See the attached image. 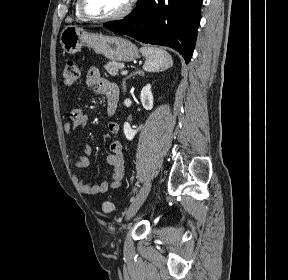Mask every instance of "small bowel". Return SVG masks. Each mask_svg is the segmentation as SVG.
<instances>
[{
  "label": "small bowel",
  "instance_id": "obj_1",
  "mask_svg": "<svg viewBox=\"0 0 288 280\" xmlns=\"http://www.w3.org/2000/svg\"><path fill=\"white\" fill-rule=\"evenodd\" d=\"M86 85L95 93L103 94L106 97V113L111 115V113L109 112V103L113 99L118 100V87L109 80L101 77L100 71L96 67H92L88 70L86 76ZM88 121L89 116L85 109L81 106L75 107L70 112V121L64 123V131L67 134H71L78 128L85 127ZM108 130L110 134L114 137L109 146L110 153L106 158L107 163L113 168L110 180L103 181L99 185H89L79 175H75V184L78 190L83 194L93 196L104 194L110 188L119 187L124 179L126 173V163L123 156V146L121 141L118 139L120 132L119 125L115 122H110L108 124ZM90 153V147L85 145L83 147L82 153L77 155L75 161V168L77 170H83L88 166V156Z\"/></svg>",
  "mask_w": 288,
  "mask_h": 280
}]
</instances>
